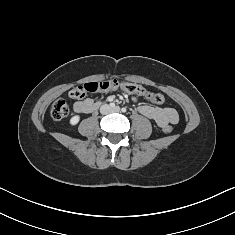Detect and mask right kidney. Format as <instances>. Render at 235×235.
I'll return each mask as SVG.
<instances>
[{"mask_svg":"<svg viewBox=\"0 0 235 235\" xmlns=\"http://www.w3.org/2000/svg\"><path fill=\"white\" fill-rule=\"evenodd\" d=\"M80 120V116L79 115H75L70 119V124L71 125H76Z\"/></svg>","mask_w":235,"mask_h":235,"instance_id":"obj_1","label":"right kidney"}]
</instances>
